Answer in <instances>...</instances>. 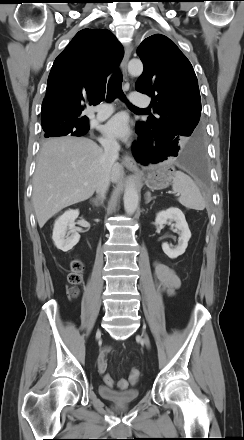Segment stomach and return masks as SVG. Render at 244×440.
<instances>
[{"label": "stomach", "instance_id": "obj_1", "mask_svg": "<svg viewBox=\"0 0 244 440\" xmlns=\"http://www.w3.org/2000/svg\"><path fill=\"white\" fill-rule=\"evenodd\" d=\"M174 173L173 166L168 162H164L151 167L143 179L150 189L160 190L171 184Z\"/></svg>", "mask_w": 244, "mask_h": 440}]
</instances>
